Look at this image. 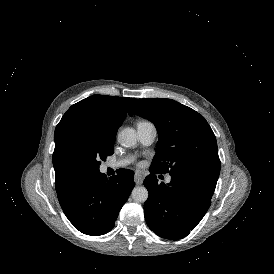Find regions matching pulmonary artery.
I'll return each instance as SVG.
<instances>
[{
  "label": "pulmonary artery",
  "instance_id": "1",
  "mask_svg": "<svg viewBox=\"0 0 274 274\" xmlns=\"http://www.w3.org/2000/svg\"><path fill=\"white\" fill-rule=\"evenodd\" d=\"M138 140L144 146H149L155 140L157 131L155 126L151 122L143 121L140 122L136 127ZM128 163L127 160H119V161H108L106 163L107 168H120L125 166ZM166 183L171 182V176L167 175L165 179Z\"/></svg>",
  "mask_w": 274,
  "mask_h": 274
}]
</instances>
